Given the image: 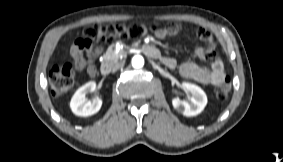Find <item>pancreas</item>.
Instances as JSON below:
<instances>
[{
  "mask_svg": "<svg viewBox=\"0 0 283 162\" xmlns=\"http://www.w3.org/2000/svg\"><path fill=\"white\" fill-rule=\"evenodd\" d=\"M124 55V51L120 50L118 53H115L113 48H109L104 55V60H117Z\"/></svg>",
  "mask_w": 283,
  "mask_h": 162,
  "instance_id": "1",
  "label": "pancreas"
}]
</instances>
